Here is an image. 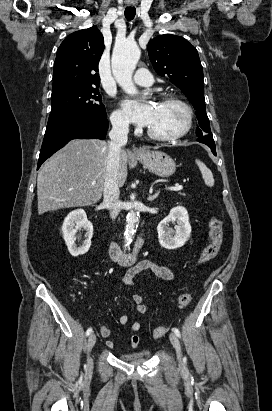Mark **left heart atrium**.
<instances>
[{
  "instance_id": "left-heart-atrium-1",
  "label": "left heart atrium",
  "mask_w": 272,
  "mask_h": 411,
  "mask_svg": "<svg viewBox=\"0 0 272 411\" xmlns=\"http://www.w3.org/2000/svg\"><path fill=\"white\" fill-rule=\"evenodd\" d=\"M123 107L130 120L141 126H149L153 120L156 104L138 100H124Z\"/></svg>"
}]
</instances>
